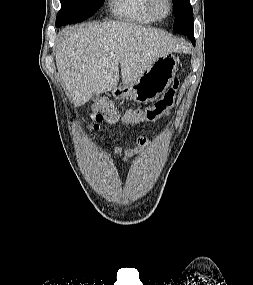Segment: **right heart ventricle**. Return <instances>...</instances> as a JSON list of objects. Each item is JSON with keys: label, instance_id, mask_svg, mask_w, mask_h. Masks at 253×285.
I'll use <instances>...</instances> for the list:
<instances>
[{"label": "right heart ventricle", "instance_id": "obj_1", "mask_svg": "<svg viewBox=\"0 0 253 285\" xmlns=\"http://www.w3.org/2000/svg\"><path fill=\"white\" fill-rule=\"evenodd\" d=\"M115 12L121 17L138 23L148 24L155 21L147 9V0H114Z\"/></svg>", "mask_w": 253, "mask_h": 285}]
</instances>
